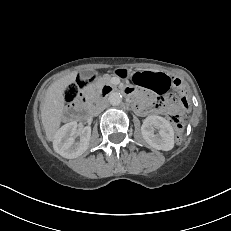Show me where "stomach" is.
I'll list each match as a JSON object with an SVG mask.
<instances>
[{"label": "stomach", "instance_id": "0dacf381", "mask_svg": "<svg viewBox=\"0 0 231 231\" xmlns=\"http://www.w3.org/2000/svg\"><path fill=\"white\" fill-rule=\"evenodd\" d=\"M117 72L123 77L126 75H131V72L127 69H119V70H117Z\"/></svg>", "mask_w": 231, "mask_h": 231}]
</instances>
